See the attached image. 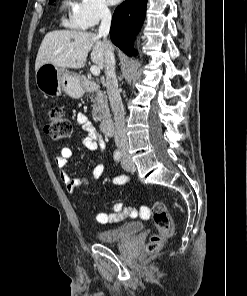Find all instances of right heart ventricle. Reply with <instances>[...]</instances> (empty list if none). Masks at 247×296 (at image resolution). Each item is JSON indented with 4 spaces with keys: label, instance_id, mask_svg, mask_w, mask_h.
Wrapping results in <instances>:
<instances>
[{
    "label": "right heart ventricle",
    "instance_id": "1",
    "mask_svg": "<svg viewBox=\"0 0 247 296\" xmlns=\"http://www.w3.org/2000/svg\"><path fill=\"white\" fill-rule=\"evenodd\" d=\"M74 5H75V3L72 0H64L62 2V8L64 10H70L71 8H73ZM64 23L68 26H71V27H75V28L80 27L71 18H70V20H64Z\"/></svg>",
    "mask_w": 247,
    "mask_h": 296
}]
</instances>
